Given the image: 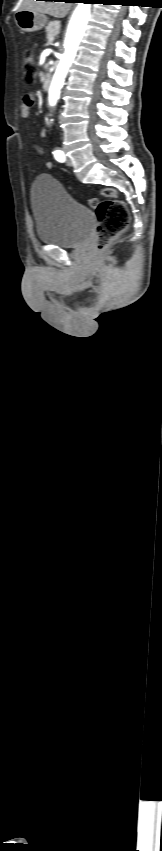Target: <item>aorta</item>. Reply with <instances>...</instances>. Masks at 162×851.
Returning a JSON list of instances; mask_svg holds the SVG:
<instances>
[{"instance_id": "762f6f07", "label": "aorta", "mask_w": 162, "mask_h": 851, "mask_svg": "<svg viewBox=\"0 0 162 851\" xmlns=\"http://www.w3.org/2000/svg\"><path fill=\"white\" fill-rule=\"evenodd\" d=\"M91 13V4L79 3L68 25L65 37V52L54 73L49 88V103L55 105L60 97L65 77L76 56L79 43L84 35Z\"/></svg>"}]
</instances>
